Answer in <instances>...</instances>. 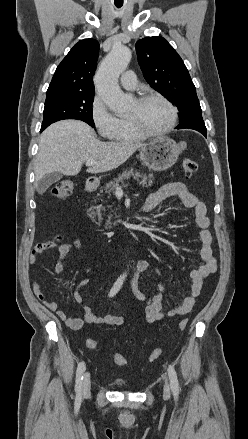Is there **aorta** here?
<instances>
[{"mask_svg":"<svg viewBox=\"0 0 248 439\" xmlns=\"http://www.w3.org/2000/svg\"><path fill=\"white\" fill-rule=\"evenodd\" d=\"M131 59V51L124 45H117L100 64L95 75V86L99 97L115 113L126 112L131 106V97L124 94L118 78L127 68Z\"/></svg>","mask_w":248,"mask_h":439,"instance_id":"1","label":"aorta"}]
</instances>
